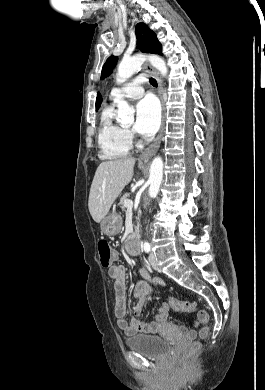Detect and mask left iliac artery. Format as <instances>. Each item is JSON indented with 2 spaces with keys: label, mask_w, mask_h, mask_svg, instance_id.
Listing matches in <instances>:
<instances>
[{
  "label": "left iliac artery",
  "mask_w": 265,
  "mask_h": 390,
  "mask_svg": "<svg viewBox=\"0 0 265 390\" xmlns=\"http://www.w3.org/2000/svg\"><path fill=\"white\" fill-rule=\"evenodd\" d=\"M144 250L145 252H149L150 251V245L147 243V244H144Z\"/></svg>",
  "instance_id": "left-iliac-artery-1"
}]
</instances>
